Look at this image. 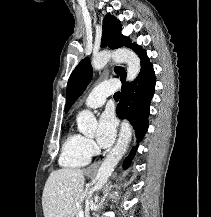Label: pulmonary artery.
Here are the masks:
<instances>
[{
    "mask_svg": "<svg viewBox=\"0 0 211 217\" xmlns=\"http://www.w3.org/2000/svg\"><path fill=\"white\" fill-rule=\"evenodd\" d=\"M120 83L116 79L102 81L95 85L84 101L86 108H99L104 105L108 96L117 91Z\"/></svg>",
    "mask_w": 211,
    "mask_h": 217,
    "instance_id": "obj_1",
    "label": "pulmonary artery"
}]
</instances>
